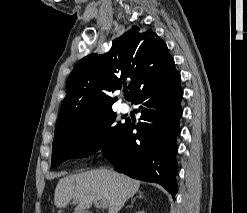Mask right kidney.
I'll return each instance as SVG.
<instances>
[{
    "instance_id": "1",
    "label": "right kidney",
    "mask_w": 247,
    "mask_h": 213,
    "mask_svg": "<svg viewBox=\"0 0 247 213\" xmlns=\"http://www.w3.org/2000/svg\"><path fill=\"white\" fill-rule=\"evenodd\" d=\"M136 213H145L144 211H139V212H136Z\"/></svg>"
}]
</instances>
